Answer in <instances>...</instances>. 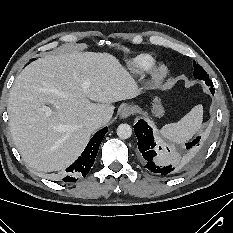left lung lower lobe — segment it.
Masks as SVG:
<instances>
[{
	"label": "left lung lower lobe",
	"mask_w": 233,
	"mask_h": 233,
	"mask_svg": "<svg viewBox=\"0 0 233 233\" xmlns=\"http://www.w3.org/2000/svg\"><path fill=\"white\" fill-rule=\"evenodd\" d=\"M207 85L212 87L209 78L204 79ZM212 94L215 89L210 88ZM134 132L138 139V148L145 160L147 170L160 176H171L178 171L179 161L173 159L168 148L159 146L154 139L152 128L144 121L139 120L134 125ZM184 163H190L195 159L200 150V137L185 144Z\"/></svg>",
	"instance_id": "1"
}]
</instances>
